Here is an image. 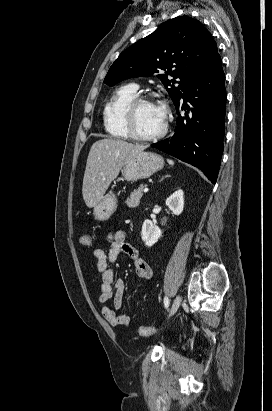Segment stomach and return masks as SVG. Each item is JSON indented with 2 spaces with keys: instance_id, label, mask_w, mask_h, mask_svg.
Wrapping results in <instances>:
<instances>
[{
  "instance_id": "stomach-1",
  "label": "stomach",
  "mask_w": 272,
  "mask_h": 411,
  "mask_svg": "<svg viewBox=\"0 0 272 411\" xmlns=\"http://www.w3.org/2000/svg\"><path fill=\"white\" fill-rule=\"evenodd\" d=\"M164 166L163 158L154 152H140L128 160L120 169L121 179L137 181L149 178ZM116 195L109 193L95 206L93 215L98 221L108 220L116 209Z\"/></svg>"
}]
</instances>
